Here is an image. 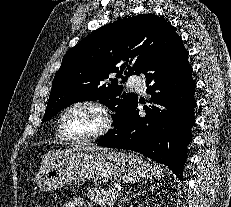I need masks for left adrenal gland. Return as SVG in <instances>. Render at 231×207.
Segmentation results:
<instances>
[{"label": "left adrenal gland", "mask_w": 231, "mask_h": 207, "mask_svg": "<svg viewBox=\"0 0 231 207\" xmlns=\"http://www.w3.org/2000/svg\"><path fill=\"white\" fill-rule=\"evenodd\" d=\"M150 190H152V188H150ZM140 193H138V195H139ZM137 194H133L131 197H135ZM124 201H127V198H123L122 200H120V202H119V207H122V203L124 202Z\"/></svg>", "instance_id": "a2214340"}]
</instances>
